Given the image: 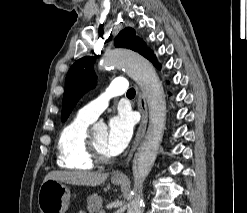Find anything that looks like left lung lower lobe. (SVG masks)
<instances>
[{"mask_svg": "<svg viewBox=\"0 0 247 213\" xmlns=\"http://www.w3.org/2000/svg\"><path fill=\"white\" fill-rule=\"evenodd\" d=\"M154 65H156L157 67H159V65L157 63H154Z\"/></svg>", "mask_w": 247, "mask_h": 213, "instance_id": "obj_1", "label": "left lung lower lobe"}]
</instances>
